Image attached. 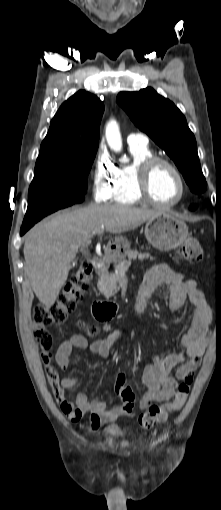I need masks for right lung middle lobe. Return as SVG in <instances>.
<instances>
[{"label": "right lung middle lobe", "instance_id": "dd1d6c3e", "mask_svg": "<svg viewBox=\"0 0 221 510\" xmlns=\"http://www.w3.org/2000/svg\"><path fill=\"white\" fill-rule=\"evenodd\" d=\"M98 147L37 159L28 205L58 210L84 200Z\"/></svg>", "mask_w": 221, "mask_h": 510}]
</instances>
